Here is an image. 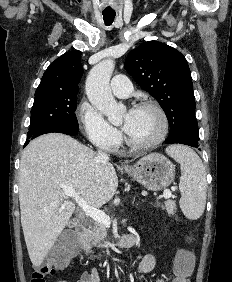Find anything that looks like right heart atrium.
<instances>
[{"mask_svg":"<svg viewBox=\"0 0 232 282\" xmlns=\"http://www.w3.org/2000/svg\"><path fill=\"white\" fill-rule=\"evenodd\" d=\"M78 119L86 137L96 146L113 151L120 142V132L110 125L88 102L78 108Z\"/></svg>","mask_w":232,"mask_h":282,"instance_id":"obj_1","label":"right heart atrium"}]
</instances>
